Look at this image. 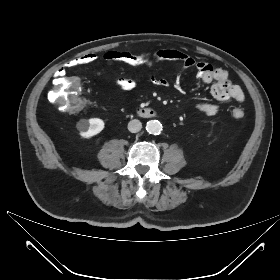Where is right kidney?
Returning <instances> with one entry per match:
<instances>
[{
  "label": "right kidney",
  "mask_w": 280,
  "mask_h": 280,
  "mask_svg": "<svg viewBox=\"0 0 280 280\" xmlns=\"http://www.w3.org/2000/svg\"><path fill=\"white\" fill-rule=\"evenodd\" d=\"M77 128L83 138H91L104 129V122L99 118L82 119L77 123Z\"/></svg>",
  "instance_id": "1"
}]
</instances>
